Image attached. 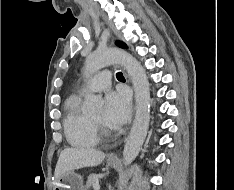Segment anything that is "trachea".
Masks as SVG:
<instances>
[{"label": "trachea", "mask_w": 234, "mask_h": 190, "mask_svg": "<svg viewBox=\"0 0 234 190\" xmlns=\"http://www.w3.org/2000/svg\"><path fill=\"white\" fill-rule=\"evenodd\" d=\"M116 77H117L118 80H123L124 79V76H123V74L121 72H118L116 74Z\"/></svg>", "instance_id": "3493384b"}]
</instances>
